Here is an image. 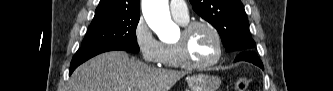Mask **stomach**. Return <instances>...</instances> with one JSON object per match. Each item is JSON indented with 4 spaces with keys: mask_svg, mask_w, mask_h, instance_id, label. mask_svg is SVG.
I'll return each mask as SVG.
<instances>
[{
    "mask_svg": "<svg viewBox=\"0 0 333 91\" xmlns=\"http://www.w3.org/2000/svg\"><path fill=\"white\" fill-rule=\"evenodd\" d=\"M191 91H217L221 79L210 74H198L187 79Z\"/></svg>",
    "mask_w": 333,
    "mask_h": 91,
    "instance_id": "1",
    "label": "stomach"
}]
</instances>
